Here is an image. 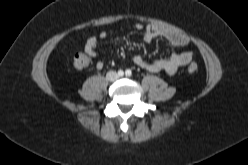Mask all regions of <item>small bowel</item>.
<instances>
[{"mask_svg":"<svg viewBox=\"0 0 248 165\" xmlns=\"http://www.w3.org/2000/svg\"><path fill=\"white\" fill-rule=\"evenodd\" d=\"M135 29L143 32L144 41L150 42L155 39H163L176 50L168 58L152 60H148L140 55H135L132 58L135 65L151 72H164L171 76L176 74L181 67L192 62L193 53L191 51L183 50L188 45V38L186 36L152 24L143 26L138 23L135 25ZM107 36L108 33L106 31H101L98 35L89 37L84 45L85 53L91 58L96 57L98 54L99 41L107 38ZM104 66L105 63L102 60L95 63V67L98 70L103 69Z\"/></svg>","mask_w":248,"mask_h":165,"instance_id":"obj_1","label":"small bowel"}]
</instances>
